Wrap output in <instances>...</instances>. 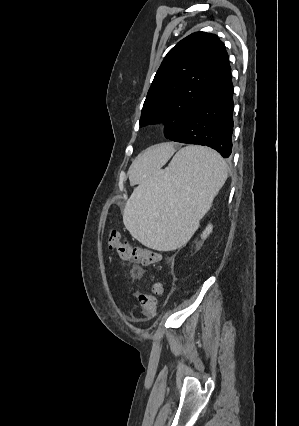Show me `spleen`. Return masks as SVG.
Instances as JSON below:
<instances>
[{
    "mask_svg": "<svg viewBox=\"0 0 299 426\" xmlns=\"http://www.w3.org/2000/svg\"><path fill=\"white\" fill-rule=\"evenodd\" d=\"M227 177V164L219 153L184 147L164 170L141 180L126 202L123 223L144 246L175 250L197 229Z\"/></svg>",
    "mask_w": 299,
    "mask_h": 426,
    "instance_id": "spleen-1",
    "label": "spleen"
}]
</instances>
